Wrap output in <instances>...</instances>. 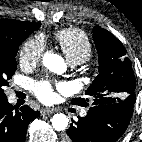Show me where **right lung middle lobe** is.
I'll use <instances>...</instances> for the list:
<instances>
[{
  "mask_svg": "<svg viewBox=\"0 0 142 142\" xmlns=\"http://www.w3.org/2000/svg\"><path fill=\"white\" fill-rule=\"evenodd\" d=\"M32 31L21 33L12 39L0 42V99L5 98L3 88L8 86V80L14 75L16 64V53L21 43Z\"/></svg>",
  "mask_w": 142,
  "mask_h": 142,
  "instance_id": "1",
  "label": "right lung middle lobe"
}]
</instances>
